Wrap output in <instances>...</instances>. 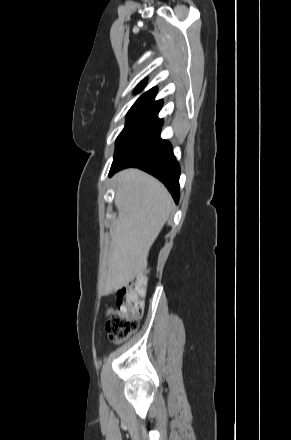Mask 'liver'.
Wrapping results in <instances>:
<instances>
[{"instance_id": "1", "label": "liver", "mask_w": 291, "mask_h": 440, "mask_svg": "<svg viewBox=\"0 0 291 440\" xmlns=\"http://www.w3.org/2000/svg\"><path fill=\"white\" fill-rule=\"evenodd\" d=\"M114 183L118 217L110 231L111 253L104 295L126 286L147 267L150 248L173 205L164 185L139 169L119 172Z\"/></svg>"}]
</instances>
